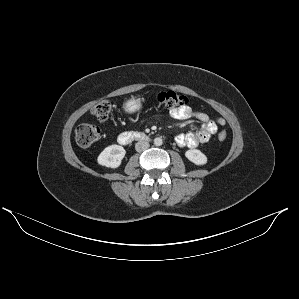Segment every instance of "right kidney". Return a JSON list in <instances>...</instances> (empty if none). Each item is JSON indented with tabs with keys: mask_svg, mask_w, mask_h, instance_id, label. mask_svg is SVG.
I'll list each match as a JSON object with an SVG mask.
<instances>
[{
	"mask_svg": "<svg viewBox=\"0 0 299 299\" xmlns=\"http://www.w3.org/2000/svg\"><path fill=\"white\" fill-rule=\"evenodd\" d=\"M126 154L125 149L119 145H110L106 147L98 156L97 162L99 165L117 168L121 165L122 159Z\"/></svg>",
	"mask_w": 299,
	"mask_h": 299,
	"instance_id": "ca27d5eb",
	"label": "right kidney"
}]
</instances>
